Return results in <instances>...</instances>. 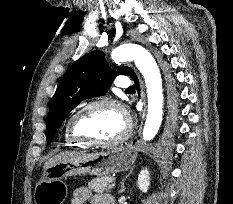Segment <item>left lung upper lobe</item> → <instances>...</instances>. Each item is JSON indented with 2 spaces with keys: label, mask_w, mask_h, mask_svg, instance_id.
I'll list each match as a JSON object with an SVG mask.
<instances>
[{
  "label": "left lung upper lobe",
  "mask_w": 233,
  "mask_h": 204,
  "mask_svg": "<svg viewBox=\"0 0 233 204\" xmlns=\"http://www.w3.org/2000/svg\"><path fill=\"white\" fill-rule=\"evenodd\" d=\"M118 74L132 76L135 73L129 67H122ZM115 76L102 51H93L78 59L64 74L51 100L47 143H51L58 127L80 101L104 95Z\"/></svg>",
  "instance_id": "1"
}]
</instances>
